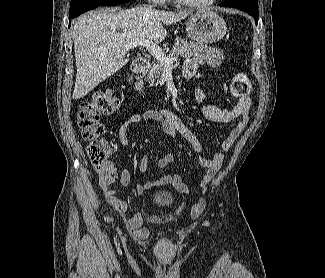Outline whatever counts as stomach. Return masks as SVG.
Wrapping results in <instances>:
<instances>
[{
    "label": "stomach",
    "instance_id": "1",
    "mask_svg": "<svg viewBox=\"0 0 325 278\" xmlns=\"http://www.w3.org/2000/svg\"><path fill=\"white\" fill-rule=\"evenodd\" d=\"M227 27L225 21L210 10H199L190 15L186 22L187 36L203 44H212L221 40Z\"/></svg>",
    "mask_w": 325,
    "mask_h": 278
}]
</instances>
